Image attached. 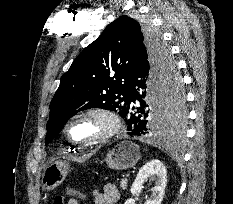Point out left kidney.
<instances>
[{"mask_svg":"<svg viewBox=\"0 0 233 204\" xmlns=\"http://www.w3.org/2000/svg\"><path fill=\"white\" fill-rule=\"evenodd\" d=\"M166 175V168L161 161L157 159L149 161L139 170V173L131 186V194L135 195L139 193L143 188V184L149 178L155 182V185L152 187V194L150 198L146 200L145 204H161L165 194L167 182ZM125 204H135V199L130 198Z\"/></svg>","mask_w":233,"mask_h":204,"instance_id":"1","label":"left kidney"}]
</instances>
